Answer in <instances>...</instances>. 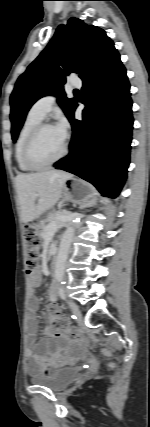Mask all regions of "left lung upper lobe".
Here are the masks:
<instances>
[{"label":"left lung upper lobe","mask_w":150,"mask_h":427,"mask_svg":"<svg viewBox=\"0 0 150 427\" xmlns=\"http://www.w3.org/2000/svg\"><path fill=\"white\" fill-rule=\"evenodd\" d=\"M113 49V41L99 27L77 18L60 25L47 47L15 84L10 97L13 141L17 140L30 107L45 95H56L69 118L76 102L65 97L66 76L75 73L85 79Z\"/></svg>","instance_id":"5c2ea615"}]
</instances>
